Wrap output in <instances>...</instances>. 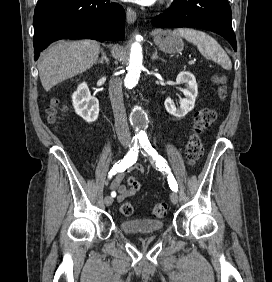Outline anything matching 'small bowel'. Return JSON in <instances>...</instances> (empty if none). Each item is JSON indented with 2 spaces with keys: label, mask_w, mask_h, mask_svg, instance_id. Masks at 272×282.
I'll return each instance as SVG.
<instances>
[{
  "label": "small bowel",
  "mask_w": 272,
  "mask_h": 282,
  "mask_svg": "<svg viewBox=\"0 0 272 282\" xmlns=\"http://www.w3.org/2000/svg\"><path fill=\"white\" fill-rule=\"evenodd\" d=\"M134 169L141 171L142 166L139 163H136L134 165ZM123 178L124 174L120 173L109 185L111 190L118 192V202H122L125 198L135 194L141 187V184L137 179L136 182L129 183L128 186H125L122 184Z\"/></svg>",
  "instance_id": "c3829d8e"
}]
</instances>
